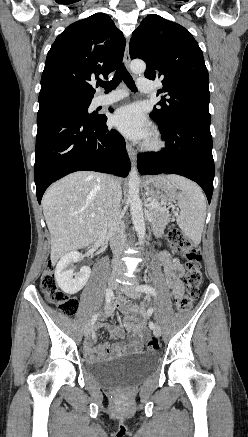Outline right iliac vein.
I'll use <instances>...</instances> for the list:
<instances>
[{
	"label": "right iliac vein",
	"mask_w": 248,
	"mask_h": 437,
	"mask_svg": "<svg viewBox=\"0 0 248 437\" xmlns=\"http://www.w3.org/2000/svg\"><path fill=\"white\" fill-rule=\"evenodd\" d=\"M116 285H117V284H116V279H115V277H114V276L110 277L109 280H108V287H109L110 289H114V288L116 287ZM90 333H91V325L88 324V325L85 327V329H84V334H85V336H89Z\"/></svg>",
	"instance_id": "right-iliac-vein-1"
}]
</instances>
